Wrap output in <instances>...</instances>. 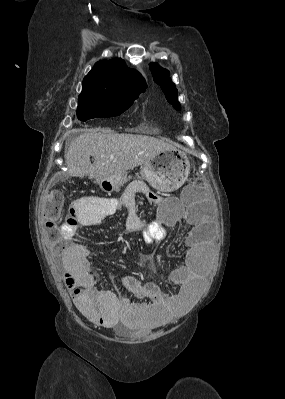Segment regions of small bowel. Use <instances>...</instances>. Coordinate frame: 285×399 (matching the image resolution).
<instances>
[{
    "label": "small bowel",
    "instance_id": "small-bowel-1",
    "mask_svg": "<svg viewBox=\"0 0 285 399\" xmlns=\"http://www.w3.org/2000/svg\"><path fill=\"white\" fill-rule=\"evenodd\" d=\"M137 193H144L148 200L152 195L142 184L133 183L118 199L93 196L75 199L69 205V216L62 229L78 235L83 228L96 226L107 217L123 211L126 228L131 232L142 231L146 243L167 239V230L157 219L145 221L138 215ZM155 204L163 211L177 210L178 219L193 218L198 214L197 207L189 209L159 198ZM201 237L200 230L187 236L183 262L164 278L165 284L178 289L175 295L164 294L154 282L139 283L126 274L116 277L115 290H99L89 270V247L81 242L66 244L62 255L64 281L75 307L89 320L103 327H114L120 322H126L150 330L184 316L199 293L201 280L206 274L207 259ZM126 291L135 298L149 299L150 303H138ZM90 300L97 306H87Z\"/></svg>",
    "mask_w": 285,
    "mask_h": 399
}]
</instances>
